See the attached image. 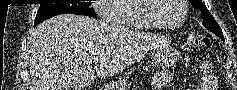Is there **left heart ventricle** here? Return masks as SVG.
<instances>
[{
    "label": "left heart ventricle",
    "mask_w": 237,
    "mask_h": 90,
    "mask_svg": "<svg viewBox=\"0 0 237 90\" xmlns=\"http://www.w3.org/2000/svg\"><path fill=\"white\" fill-rule=\"evenodd\" d=\"M147 6H155L151 16L164 25L175 24L180 16V7L177 0H149Z\"/></svg>",
    "instance_id": "1"
}]
</instances>
